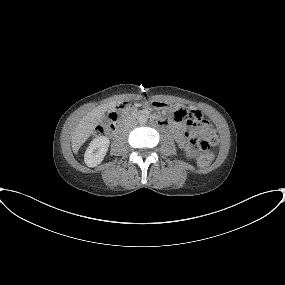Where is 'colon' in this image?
I'll use <instances>...</instances> for the list:
<instances>
[{"mask_svg": "<svg viewBox=\"0 0 285 285\" xmlns=\"http://www.w3.org/2000/svg\"><path fill=\"white\" fill-rule=\"evenodd\" d=\"M128 107V103L121 102L116 106V109L109 114L110 119L114 120L117 118L118 111H122ZM174 119L176 121L185 120H202V115L198 117L194 110L179 107L174 111ZM186 138L190 146L197 149L200 154L197 158V163L201 168H207L212 160L213 153L210 150V144L215 143L217 135L214 131H211L208 138L199 137L197 131L192 128L186 133Z\"/></svg>", "mask_w": 285, "mask_h": 285, "instance_id": "1", "label": "colon"}]
</instances>
